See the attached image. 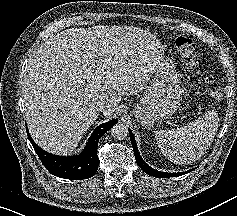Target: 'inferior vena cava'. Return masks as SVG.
Returning a JSON list of instances; mask_svg holds the SVG:
<instances>
[{"mask_svg":"<svg viewBox=\"0 0 237 216\" xmlns=\"http://www.w3.org/2000/svg\"><path fill=\"white\" fill-rule=\"evenodd\" d=\"M119 104L112 103L109 100H99L98 108L100 111L116 110Z\"/></svg>","mask_w":237,"mask_h":216,"instance_id":"inferior-vena-cava-1","label":"inferior vena cava"}]
</instances>
